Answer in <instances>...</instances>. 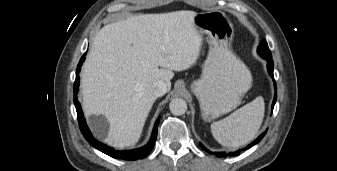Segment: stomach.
<instances>
[{
  "mask_svg": "<svg viewBox=\"0 0 337 171\" xmlns=\"http://www.w3.org/2000/svg\"><path fill=\"white\" fill-rule=\"evenodd\" d=\"M194 24L210 45L202 76L191 84L202 118L209 122L235 109L252 86L246 65L229 49L233 25L224 12L198 13Z\"/></svg>",
  "mask_w": 337,
  "mask_h": 171,
  "instance_id": "1",
  "label": "stomach"
}]
</instances>
